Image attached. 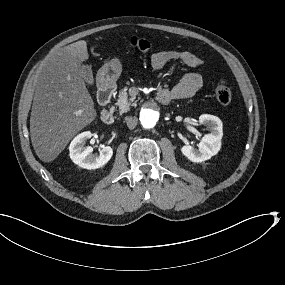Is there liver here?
<instances>
[{
    "instance_id": "obj_1",
    "label": "liver",
    "mask_w": 285,
    "mask_h": 285,
    "mask_svg": "<svg viewBox=\"0 0 285 285\" xmlns=\"http://www.w3.org/2000/svg\"><path fill=\"white\" fill-rule=\"evenodd\" d=\"M88 59L87 42L79 40L51 54L42 70L30 116V137L37 157L46 164L97 118L82 73Z\"/></svg>"
}]
</instances>
